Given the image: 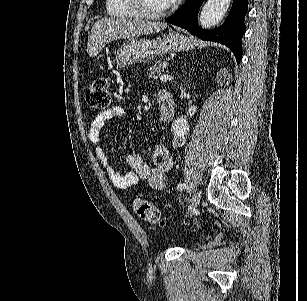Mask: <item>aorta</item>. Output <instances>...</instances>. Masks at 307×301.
Masks as SVG:
<instances>
[{"label": "aorta", "mask_w": 307, "mask_h": 301, "mask_svg": "<svg viewBox=\"0 0 307 301\" xmlns=\"http://www.w3.org/2000/svg\"><path fill=\"white\" fill-rule=\"evenodd\" d=\"M230 0H207L204 4L200 16L199 24L202 28H211L216 26L223 16H225ZM171 132L178 142H184L189 132V122L186 114H182L172 122Z\"/></svg>", "instance_id": "762f6f07"}]
</instances>
